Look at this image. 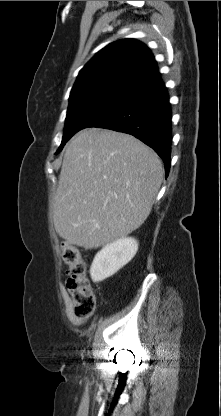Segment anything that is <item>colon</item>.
Segmentation results:
<instances>
[{
    "label": "colon",
    "instance_id": "5ec220e1",
    "mask_svg": "<svg viewBox=\"0 0 221 416\" xmlns=\"http://www.w3.org/2000/svg\"><path fill=\"white\" fill-rule=\"evenodd\" d=\"M59 253L68 266L66 288L72 303L75 316L86 318L93 314L96 305L95 293L87 277V262L79 248L62 242Z\"/></svg>",
    "mask_w": 221,
    "mask_h": 416
}]
</instances>
